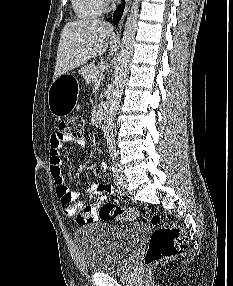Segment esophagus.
<instances>
[{"label":"esophagus","mask_w":233,"mask_h":286,"mask_svg":"<svg viewBox=\"0 0 233 286\" xmlns=\"http://www.w3.org/2000/svg\"><path fill=\"white\" fill-rule=\"evenodd\" d=\"M131 2H132V0H126V7H125L124 15L127 13L128 9H129V5H130ZM124 15H123L121 21L117 25V30L118 31L121 30L123 19H124Z\"/></svg>","instance_id":"esophagus-1"}]
</instances>
